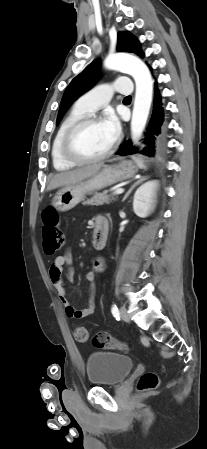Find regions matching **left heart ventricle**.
Returning <instances> with one entry per match:
<instances>
[{
  "mask_svg": "<svg viewBox=\"0 0 207 449\" xmlns=\"http://www.w3.org/2000/svg\"><path fill=\"white\" fill-rule=\"evenodd\" d=\"M112 144L102 123L81 128L74 136L73 148L84 156H97Z\"/></svg>",
  "mask_w": 207,
  "mask_h": 449,
  "instance_id": "obj_1",
  "label": "left heart ventricle"
}]
</instances>
